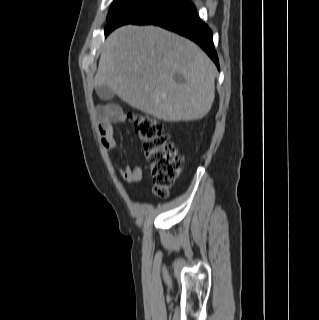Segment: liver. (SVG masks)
I'll return each mask as SVG.
<instances>
[{
  "mask_svg": "<svg viewBox=\"0 0 319 320\" xmlns=\"http://www.w3.org/2000/svg\"><path fill=\"white\" fill-rule=\"evenodd\" d=\"M185 79L179 84L174 75ZM216 67L192 41L155 26L125 25L102 50L94 85L167 122L203 118L215 98Z\"/></svg>",
  "mask_w": 319,
  "mask_h": 320,
  "instance_id": "obj_1",
  "label": "liver"
}]
</instances>
